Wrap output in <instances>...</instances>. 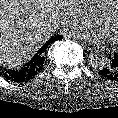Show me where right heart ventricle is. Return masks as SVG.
<instances>
[{"mask_svg": "<svg viewBox=\"0 0 118 118\" xmlns=\"http://www.w3.org/2000/svg\"><path fill=\"white\" fill-rule=\"evenodd\" d=\"M112 0H84L89 12L96 16L105 9Z\"/></svg>", "mask_w": 118, "mask_h": 118, "instance_id": "e07e8e85", "label": "right heart ventricle"}]
</instances>
